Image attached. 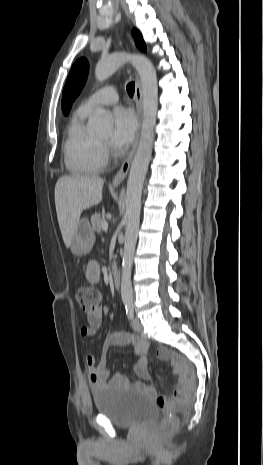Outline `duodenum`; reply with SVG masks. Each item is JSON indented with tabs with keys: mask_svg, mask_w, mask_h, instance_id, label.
<instances>
[{
	"mask_svg": "<svg viewBox=\"0 0 263 465\" xmlns=\"http://www.w3.org/2000/svg\"><path fill=\"white\" fill-rule=\"evenodd\" d=\"M112 277H113V284L115 286L116 289H119L120 286H121V274L118 270H114L113 271V274H112Z\"/></svg>",
	"mask_w": 263,
	"mask_h": 465,
	"instance_id": "duodenum-1",
	"label": "duodenum"
}]
</instances>
